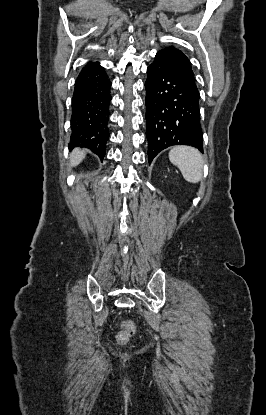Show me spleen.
<instances>
[{"label":"spleen","mask_w":266,"mask_h":415,"mask_svg":"<svg viewBox=\"0 0 266 415\" xmlns=\"http://www.w3.org/2000/svg\"><path fill=\"white\" fill-rule=\"evenodd\" d=\"M170 161L178 167L183 178L190 183H198L203 174L201 153L192 147L178 146L169 152Z\"/></svg>","instance_id":"obj_1"}]
</instances>
